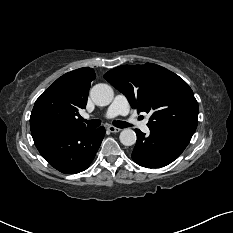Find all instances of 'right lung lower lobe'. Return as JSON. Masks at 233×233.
<instances>
[{"instance_id": "1", "label": "right lung lower lobe", "mask_w": 233, "mask_h": 233, "mask_svg": "<svg viewBox=\"0 0 233 233\" xmlns=\"http://www.w3.org/2000/svg\"><path fill=\"white\" fill-rule=\"evenodd\" d=\"M105 134L98 129H40L32 132L40 154L58 171L65 174L87 169L98 151Z\"/></svg>"}]
</instances>
